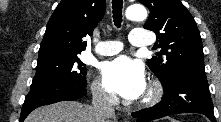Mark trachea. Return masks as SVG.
<instances>
[{
  "label": "trachea",
  "mask_w": 221,
  "mask_h": 122,
  "mask_svg": "<svg viewBox=\"0 0 221 122\" xmlns=\"http://www.w3.org/2000/svg\"><path fill=\"white\" fill-rule=\"evenodd\" d=\"M122 5L123 0H112L113 19L116 27H120L122 23Z\"/></svg>",
  "instance_id": "obj_1"
}]
</instances>
